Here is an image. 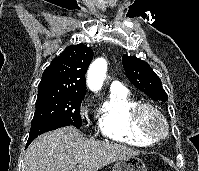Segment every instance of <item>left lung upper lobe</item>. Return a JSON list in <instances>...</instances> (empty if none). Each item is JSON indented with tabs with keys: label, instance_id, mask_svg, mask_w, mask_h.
Instances as JSON below:
<instances>
[{
	"label": "left lung upper lobe",
	"instance_id": "5c2ea615",
	"mask_svg": "<svg viewBox=\"0 0 199 171\" xmlns=\"http://www.w3.org/2000/svg\"><path fill=\"white\" fill-rule=\"evenodd\" d=\"M122 63L128 79L137 89L153 100H168V96L162 88L161 80L147 62L135 56L123 55Z\"/></svg>",
	"mask_w": 199,
	"mask_h": 171
}]
</instances>
